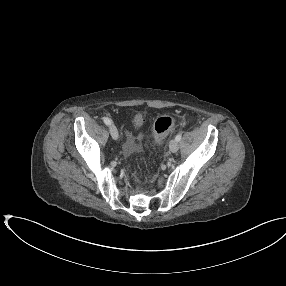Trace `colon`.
Listing matches in <instances>:
<instances>
[{"label":"colon","mask_w":286,"mask_h":286,"mask_svg":"<svg viewBox=\"0 0 286 286\" xmlns=\"http://www.w3.org/2000/svg\"><path fill=\"white\" fill-rule=\"evenodd\" d=\"M175 124V120L172 116H161L159 117L153 126V136H154V141L157 144H160L169 131L173 128ZM139 146V140L135 138H130L124 148V152L127 155L132 154L133 152L136 151V149Z\"/></svg>","instance_id":"colon-1"}]
</instances>
